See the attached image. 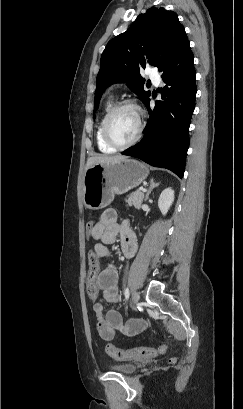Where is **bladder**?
<instances>
[{
	"label": "bladder",
	"instance_id": "obj_1",
	"mask_svg": "<svg viewBox=\"0 0 243 409\" xmlns=\"http://www.w3.org/2000/svg\"><path fill=\"white\" fill-rule=\"evenodd\" d=\"M111 369L123 375H132L138 369L137 364H114Z\"/></svg>",
	"mask_w": 243,
	"mask_h": 409
}]
</instances>
